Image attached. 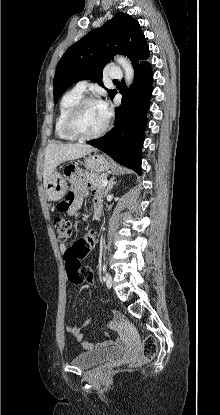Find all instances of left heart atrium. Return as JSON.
Here are the masks:
<instances>
[{"label":"left heart atrium","mask_w":220,"mask_h":415,"mask_svg":"<svg viewBox=\"0 0 220 415\" xmlns=\"http://www.w3.org/2000/svg\"><path fill=\"white\" fill-rule=\"evenodd\" d=\"M99 108H100V112H101L103 118L107 121V119L110 116V110H109L108 104L106 102L102 101V102L99 103Z\"/></svg>","instance_id":"obj_1"}]
</instances>
